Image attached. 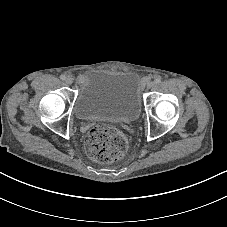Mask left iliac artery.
Returning <instances> with one entry per match:
<instances>
[{
  "label": "left iliac artery",
  "mask_w": 227,
  "mask_h": 227,
  "mask_svg": "<svg viewBox=\"0 0 227 227\" xmlns=\"http://www.w3.org/2000/svg\"><path fill=\"white\" fill-rule=\"evenodd\" d=\"M154 82H155L156 84H159V83L161 82V79H160V78H156V79L154 80Z\"/></svg>",
  "instance_id": "44dca946"
}]
</instances>
